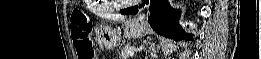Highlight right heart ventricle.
I'll list each match as a JSON object with an SVG mask.
<instances>
[{"instance_id":"obj_1","label":"right heart ventricle","mask_w":261,"mask_h":59,"mask_svg":"<svg viewBox=\"0 0 261 59\" xmlns=\"http://www.w3.org/2000/svg\"><path fill=\"white\" fill-rule=\"evenodd\" d=\"M98 2H99V1H98ZM109 9H110V8H108V7H107V8H104L103 10H106V11H108Z\"/></svg>"}]
</instances>
